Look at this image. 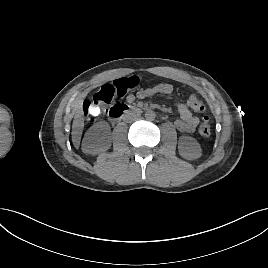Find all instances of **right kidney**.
Instances as JSON below:
<instances>
[{"label": "right kidney", "instance_id": "obj_1", "mask_svg": "<svg viewBox=\"0 0 268 268\" xmlns=\"http://www.w3.org/2000/svg\"><path fill=\"white\" fill-rule=\"evenodd\" d=\"M110 146V126L106 122H99L91 126L82 141V151L91 155L107 151Z\"/></svg>", "mask_w": 268, "mask_h": 268}]
</instances>
